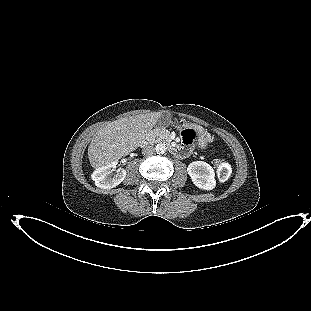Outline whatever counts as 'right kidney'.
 <instances>
[{
	"instance_id": "1",
	"label": "right kidney",
	"mask_w": 311,
	"mask_h": 311,
	"mask_svg": "<svg viewBox=\"0 0 311 311\" xmlns=\"http://www.w3.org/2000/svg\"><path fill=\"white\" fill-rule=\"evenodd\" d=\"M116 168V162L109 163L100 168H97L92 174V179L95 185L102 189H111L118 186L126 177L125 169H118L116 174H112Z\"/></svg>"
}]
</instances>
